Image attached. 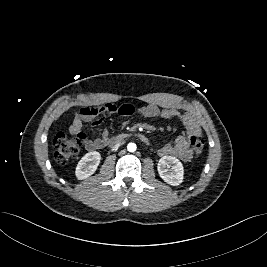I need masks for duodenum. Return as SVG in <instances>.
<instances>
[{"label":"duodenum","instance_id":"410a0bca","mask_svg":"<svg viewBox=\"0 0 267 267\" xmlns=\"http://www.w3.org/2000/svg\"><path fill=\"white\" fill-rule=\"evenodd\" d=\"M129 136L135 137V138L139 139L141 142H143L145 144H147L149 142V139L145 135L140 134V133H135V134H130V135L122 134V135H119V136L115 137L112 140V145L116 146L117 144H120L124 139H126Z\"/></svg>","mask_w":267,"mask_h":267}]
</instances>
